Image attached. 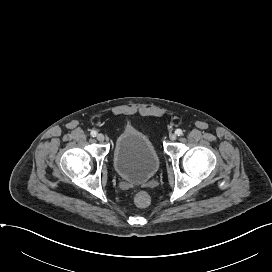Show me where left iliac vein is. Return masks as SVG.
<instances>
[{
    "label": "left iliac vein",
    "instance_id": "1",
    "mask_svg": "<svg viewBox=\"0 0 272 272\" xmlns=\"http://www.w3.org/2000/svg\"><path fill=\"white\" fill-rule=\"evenodd\" d=\"M170 140L174 141L177 138V135L175 133L170 134L169 136Z\"/></svg>",
    "mask_w": 272,
    "mask_h": 272
}]
</instances>
